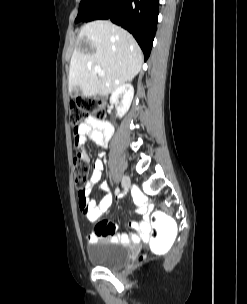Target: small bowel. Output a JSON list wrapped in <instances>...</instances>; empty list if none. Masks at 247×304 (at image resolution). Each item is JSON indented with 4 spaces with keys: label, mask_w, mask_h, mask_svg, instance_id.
Returning a JSON list of instances; mask_svg holds the SVG:
<instances>
[{
    "label": "small bowel",
    "mask_w": 247,
    "mask_h": 304,
    "mask_svg": "<svg viewBox=\"0 0 247 304\" xmlns=\"http://www.w3.org/2000/svg\"><path fill=\"white\" fill-rule=\"evenodd\" d=\"M112 134L113 127L108 121L95 118L86 119L78 127L77 131L74 132V144L76 148L73 153L74 156H78V162H89V155H83V150L85 151L84 144L87 140H91L96 145L106 148ZM99 156L100 158L94 162L93 171L90 180L85 186L84 193L82 196H79V207L86 219L92 223H96L94 231L87 236L88 242L94 243L105 238H111L113 241L132 243L147 242L151 231L150 217L148 215L150 208L140 194L137 195V209L145 217L139 222L131 223V227L137 230L138 234H117L116 225L106 219H102L112 203V196L108 193L109 185L107 182L100 184V191L105 193L100 200L89 197L92 187L100 180L104 167L102 161L104 153H100Z\"/></svg>",
    "instance_id": "c3829d8e"
}]
</instances>
